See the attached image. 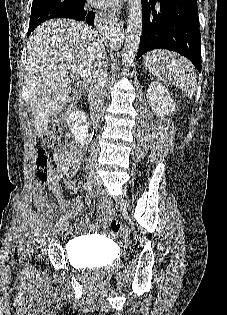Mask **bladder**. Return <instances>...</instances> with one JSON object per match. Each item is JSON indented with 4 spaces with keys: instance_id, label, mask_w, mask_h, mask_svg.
Returning <instances> with one entry per match:
<instances>
[{
    "instance_id": "bladder-1",
    "label": "bladder",
    "mask_w": 227,
    "mask_h": 315,
    "mask_svg": "<svg viewBox=\"0 0 227 315\" xmlns=\"http://www.w3.org/2000/svg\"><path fill=\"white\" fill-rule=\"evenodd\" d=\"M76 249V255L73 258V264L78 268L96 266L89 264L90 261H98L101 265H108L105 262L114 258L113 249L105 243L97 242L91 238L75 239L71 242Z\"/></svg>"
}]
</instances>
